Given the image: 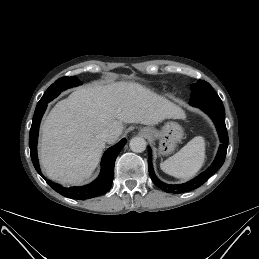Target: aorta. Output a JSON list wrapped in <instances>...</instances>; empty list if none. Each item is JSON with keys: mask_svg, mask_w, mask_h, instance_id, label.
<instances>
[{"mask_svg": "<svg viewBox=\"0 0 259 259\" xmlns=\"http://www.w3.org/2000/svg\"><path fill=\"white\" fill-rule=\"evenodd\" d=\"M146 140L142 137H134L130 140V149L135 153H141L146 149Z\"/></svg>", "mask_w": 259, "mask_h": 259, "instance_id": "obj_1", "label": "aorta"}]
</instances>
